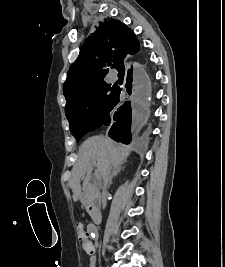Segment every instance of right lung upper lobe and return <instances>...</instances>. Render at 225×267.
<instances>
[{
	"label": "right lung upper lobe",
	"mask_w": 225,
	"mask_h": 267,
	"mask_svg": "<svg viewBox=\"0 0 225 267\" xmlns=\"http://www.w3.org/2000/svg\"><path fill=\"white\" fill-rule=\"evenodd\" d=\"M135 34L123 22L105 19L95 32L87 38L77 60L68 71L63 86L66 101L86 87L104 82L108 68L121 72L126 63V55L137 45Z\"/></svg>",
	"instance_id": "right-lung-upper-lobe-1"
}]
</instances>
